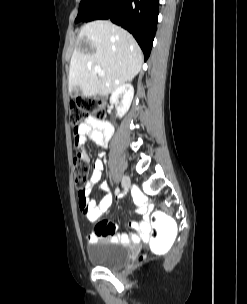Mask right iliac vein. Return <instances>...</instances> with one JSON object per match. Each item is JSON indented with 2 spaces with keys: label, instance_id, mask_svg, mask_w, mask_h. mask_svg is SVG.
I'll return each mask as SVG.
<instances>
[{
  "label": "right iliac vein",
  "instance_id": "63e3f726",
  "mask_svg": "<svg viewBox=\"0 0 247 304\" xmlns=\"http://www.w3.org/2000/svg\"><path fill=\"white\" fill-rule=\"evenodd\" d=\"M130 186H131L130 179L127 176H123V178H122V187L125 190H129Z\"/></svg>",
  "mask_w": 247,
  "mask_h": 304
}]
</instances>
